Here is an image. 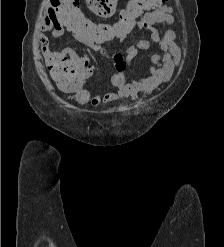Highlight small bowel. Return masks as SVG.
I'll use <instances>...</instances> for the list:
<instances>
[{
  "label": "small bowel",
  "instance_id": "c3829d8e",
  "mask_svg": "<svg viewBox=\"0 0 224 247\" xmlns=\"http://www.w3.org/2000/svg\"><path fill=\"white\" fill-rule=\"evenodd\" d=\"M86 1L90 10L100 17L111 16L117 2V0ZM161 23H167L169 25L175 23L172 8L164 6L143 14L137 20L136 24L138 28L150 33V39H143L126 50V63L130 64L140 50L150 49L152 45L159 48L160 52L151 56L152 65L148 68L150 76L129 78L122 71H118L112 75L110 81L111 85L117 88L116 91L104 95L90 91L93 105L126 97L136 99L139 94H150L171 80L180 59V49L176 42V33L174 30H168L163 36L160 35L157 25ZM41 31H51L54 38H60L64 34H70L93 51H103V41L81 38L70 27L64 24L59 13L52 5V0H48L45 5ZM41 42L43 53L49 63L55 56L51 50V39L45 35H41ZM64 52L67 53L69 51L65 50Z\"/></svg>",
  "mask_w": 224,
  "mask_h": 247
}]
</instances>
